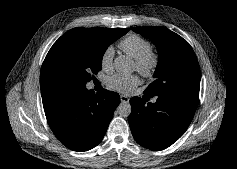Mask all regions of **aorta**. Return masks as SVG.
Instances as JSON below:
<instances>
[{
  "mask_svg": "<svg viewBox=\"0 0 237 169\" xmlns=\"http://www.w3.org/2000/svg\"><path fill=\"white\" fill-rule=\"evenodd\" d=\"M113 67L118 73H132L134 70L132 60L125 55L118 56L114 60ZM131 110V105L127 101L121 102L117 107V112L121 117H128Z\"/></svg>",
  "mask_w": 237,
  "mask_h": 169,
  "instance_id": "aorta-1",
  "label": "aorta"
}]
</instances>
